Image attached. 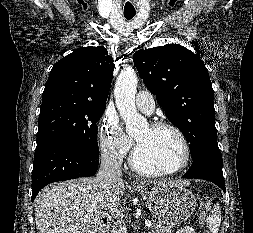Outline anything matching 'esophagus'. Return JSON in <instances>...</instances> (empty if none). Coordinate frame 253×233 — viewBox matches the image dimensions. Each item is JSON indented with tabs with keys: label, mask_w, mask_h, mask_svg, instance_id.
<instances>
[{
	"label": "esophagus",
	"mask_w": 253,
	"mask_h": 233,
	"mask_svg": "<svg viewBox=\"0 0 253 233\" xmlns=\"http://www.w3.org/2000/svg\"><path fill=\"white\" fill-rule=\"evenodd\" d=\"M132 184H133V185H136V183H135V182H133Z\"/></svg>",
	"instance_id": "34e87169"
}]
</instances>
